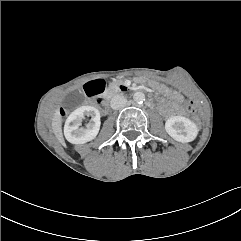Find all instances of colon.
<instances>
[{
  "mask_svg": "<svg viewBox=\"0 0 241 241\" xmlns=\"http://www.w3.org/2000/svg\"><path fill=\"white\" fill-rule=\"evenodd\" d=\"M108 84L104 80L90 81L84 86V93L87 99H93L96 104H101L102 93L107 89ZM197 111L194 102L190 101L185 107V112L189 115H194ZM66 109H61V115L66 114Z\"/></svg>",
  "mask_w": 241,
  "mask_h": 241,
  "instance_id": "5ec220e1",
  "label": "colon"
}]
</instances>
